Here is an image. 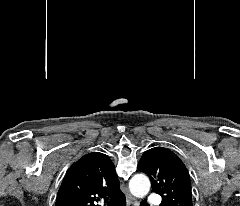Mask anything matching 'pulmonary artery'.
Listing matches in <instances>:
<instances>
[{
	"label": "pulmonary artery",
	"instance_id": "pulmonary-artery-1",
	"mask_svg": "<svg viewBox=\"0 0 240 206\" xmlns=\"http://www.w3.org/2000/svg\"><path fill=\"white\" fill-rule=\"evenodd\" d=\"M149 202L151 204H159L161 202V199L158 195L152 194L149 196Z\"/></svg>",
	"mask_w": 240,
	"mask_h": 206
}]
</instances>
